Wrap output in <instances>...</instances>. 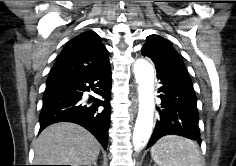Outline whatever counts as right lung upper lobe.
<instances>
[{
    "label": "right lung upper lobe",
    "instance_id": "right-lung-upper-lobe-1",
    "mask_svg": "<svg viewBox=\"0 0 236 166\" xmlns=\"http://www.w3.org/2000/svg\"><path fill=\"white\" fill-rule=\"evenodd\" d=\"M110 65L108 51L100 37L93 31H86L71 39L59 54L51 76L66 74H90Z\"/></svg>",
    "mask_w": 236,
    "mask_h": 166
}]
</instances>
